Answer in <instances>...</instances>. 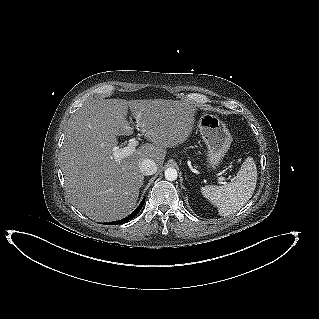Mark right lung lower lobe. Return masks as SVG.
Listing matches in <instances>:
<instances>
[{"instance_id": "1", "label": "right lung lower lobe", "mask_w": 319, "mask_h": 319, "mask_svg": "<svg viewBox=\"0 0 319 319\" xmlns=\"http://www.w3.org/2000/svg\"><path fill=\"white\" fill-rule=\"evenodd\" d=\"M144 202H145V198H143V200L141 201V203L139 204V206L137 207V209L133 213H131L128 217H126L124 219H121L119 221H114L113 224H115V225L122 224L124 222H127V221L133 219L138 214V212L141 210Z\"/></svg>"}]
</instances>
